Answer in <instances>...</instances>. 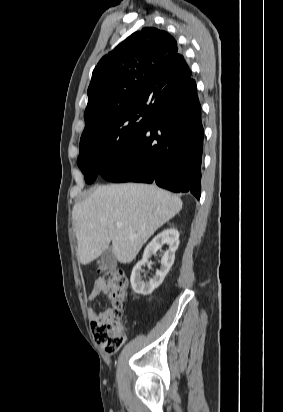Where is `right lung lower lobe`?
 I'll use <instances>...</instances> for the list:
<instances>
[{
	"label": "right lung lower lobe",
	"instance_id": "98d812e1",
	"mask_svg": "<svg viewBox=\"0 0 283 412\" xmlns=\"http://www.w3.org/2000/svg\"><path fill=\"white\" fill-rule=\"evenodd\" d=\"M203 124L195 81L180 83L151 114L133 146L100 175L111 182H145L201 194Z\"/></svg>",
	"mask_w": 283,
	"mask_h": 412
}]
</instances>
